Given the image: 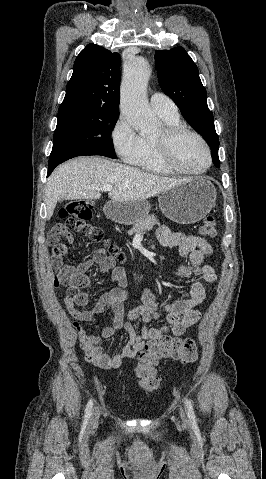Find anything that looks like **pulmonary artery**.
I'll use <instances>...</instances> for the list:
<instances>
[{"label":"pulmonary artery","instance_id":"1","mask_svg":"<svg viewBox=\"0 0 266 479\" xmlns=\"http://www.w3.org/2000/svg\"><path fill=\"white\" fill-rule=\"evenodd\" d=\"M150 104L153 110L162 116H178L176 104L165 94L155 92L150 96Z\"/></svg>","mask_w":266,"mask_h":479}]
</instances>
